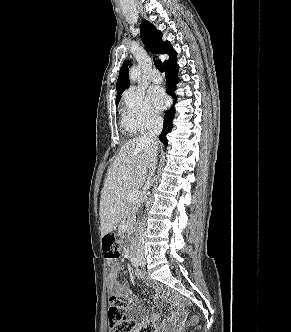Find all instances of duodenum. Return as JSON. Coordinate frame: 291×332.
Instances as JSON below:
<instances>
[{"instance_id":"duodenum-1","label":"duodenum","mask_w":291,"mask_h":332,"mask_svg":"<svg viewBox=\"0 0 291 332\" xmlns=\"http://www.w3.org/2000/svg\"><path fill=\"white\" fill-rule=\"evenodd\" d=\"M135 247L136 243L134 241L131 242L130 250H129V257H133L135 255Z\"/></svg>"}]
</instances>
